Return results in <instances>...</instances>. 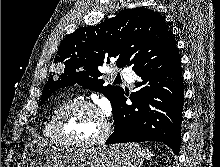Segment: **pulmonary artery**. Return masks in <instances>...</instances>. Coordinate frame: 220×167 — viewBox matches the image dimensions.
Returning a JSON list of instances; mask_svg holds the SVG:
<instances>
[{"mask_svg": "<svg viewBox=\"0 0 220 167\" xmlns=\"http://www.w3.org/2000/svg\"><path fill=\"white\" fill-rule=\"evenodd\" d=\"M119 72L121 76H123L128 83H132L133 73L131 70H129L128 68H121Z\"/></svg>", "mask_w": 220, "mask_h": 167, "instance_id": "e3ab8cb5", "label": "pulmonary artery"}]
</instances>
